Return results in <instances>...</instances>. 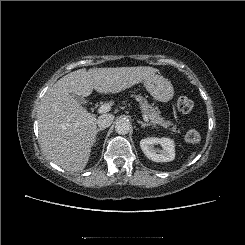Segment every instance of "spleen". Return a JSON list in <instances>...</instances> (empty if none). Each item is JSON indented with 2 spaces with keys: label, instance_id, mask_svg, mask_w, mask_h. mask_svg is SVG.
Wrapping results in <instances>:
<instances>
[{
  "label": "spleen",
  "instance_id": "spleen-1",
  "mask_svg": "<svg viewBox=\"0 0 245 245\" xmlns=\"http://www.w3.org/2000/svg\"><path fill=\"white\" fill-rule=\"evenodd\" d=\"M195 155H196V153L195 152H193L189 157H188V161H190L192 158H194L195 157Z\"/></svg>",
  "mask_w": 245,
  "mask_h": 245
}]
</instances>
